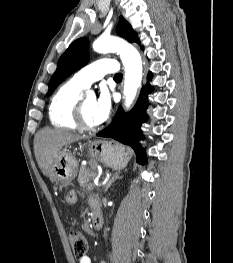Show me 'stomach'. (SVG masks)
<instances>
[{"label": "stomach", "instance_id": "0dacf381", "mask_svg": "<svg viewBox=\"0 0 233 263\" xmlns=\"http://www.w3.org/2000/svg\"><path fill=\"white\" fill-rule=\"evenodd\" d=\"M89 153L92 157L115 170L124 168L131 158V151L120 145L104 140L89 141ZM78 163L67 149L59 152L54 161L49 177L59 187H67L77 174Z\"/></svg>", "mask_w": 233, "mask_h": 263}]
</instances>
